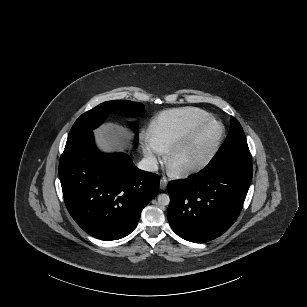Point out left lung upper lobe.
Returning a JSON list of instances; mask_svg holds the SVG:
<instances>
[{"mask_svg": "<svg viewBox=\"0 0 307 307\" xmlns=\"http://www.w3.org/2000/svg\"><path fill=\"white\" fill-rule=\"evenodd\" d=\"M230 160L246 162H251L252 160L243 129L234 117H231L229 135L207 166Z\"/></svg>", "mask_w": 307, "mask_h": 307, "instance_id": "obj_1", "label": "left lung upper lobe"}]
</instances>
